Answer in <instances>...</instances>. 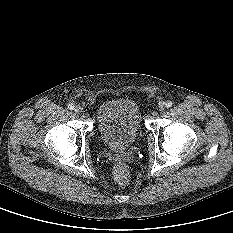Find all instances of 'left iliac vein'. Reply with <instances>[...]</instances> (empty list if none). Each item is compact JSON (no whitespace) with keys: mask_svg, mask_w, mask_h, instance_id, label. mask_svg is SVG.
Masks as SVG:
<instances>
[{"mask_svg":"<svg viewBox=\"0 0 233 233\" xmlns=\"http://www.w3.org/2000/svg\"><path fill=\"white\" fill-rule=\"evenodd\" d=\"M165 103L164 102H160L159 104H158V109H159V111H164V109H165Z\"/></svg>","mask_w":233,"mask_h":233,"instance_id":"obj_1","label":"left iliac vein"}]
</instances>
